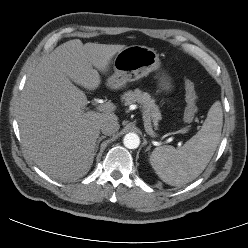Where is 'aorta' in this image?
<instances>
[{
  "label": "aorta",
  "instance_id": "762f6f07",
  "mask_svg": "<svg viewBox=\"0 0 248 248\" xmlns=\"http://www.w3.org/2000/svg\"><path fill=\"white\" fill-rule=\"evenodd\" d=\"M123 144L128 149H136L140 145V138L135 133H128L124 136Z\"/></svg>",
  "mask_w": 248,
  "mask_h": 248
}]
</instances>
